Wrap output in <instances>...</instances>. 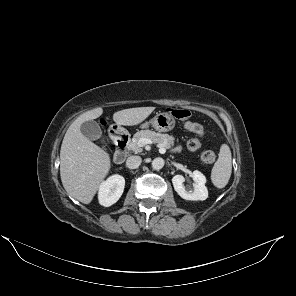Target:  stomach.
<instances>
[{
    "label": "stomach",
    "mask_w": 296,
    "mask_h": 296,
    "mask_svg": "<svg viewBox=\"0 0 296 296\" xmlns=\"http://www.w3.org/2000/svg\"><path fill=\"white\" fill-rule=\"evenodd\" d=\"M151 125L159 132H168L175 126V119L169 113H158L149 122L142 124V128H147Z\"/></svg>",
    "instance_id": "stomach-1"
}]
</instances>
